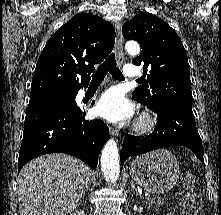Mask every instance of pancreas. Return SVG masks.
Instances as JSON below:
<instances>
[{
	"label": "pancreas",
	"mask_w": 221,
	"mask_h": 215,
	"mask_svg": "<svg viewBox=\"0 0 221 215\" xmlns=\"http://www.w3.org/2000/svg\"><path fill=\"white\" fill-rule=\"evenodd\" d=\"M151 203H155L158 207L165 204V202L159 198L156 201H151Z\"/></svg>",
	"instance_id": "obj_1"
}]
</instances>
